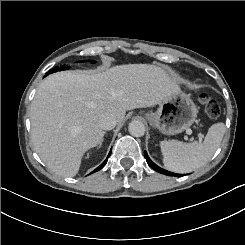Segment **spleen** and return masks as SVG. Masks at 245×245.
Listing matches in <instances>:
<instances>
[{
    "mask_svg": "<svg viewBox=\"0 0 245 245\" xmlns=\"http://www.w3.org/2000/svg\"><path fill=\"white\" fill-rule=\"evenodd\" d=\"M225 133V125H212L203 143H183L177 140L161 141L163 162L167 169L176 173H189L204 166L219 148Z\"/></svg>",
    "mask_w": 245,
    "mask_h": 245,
    "instance_id": "obj_1",
    "label": "spleen"
}]
</instances>
